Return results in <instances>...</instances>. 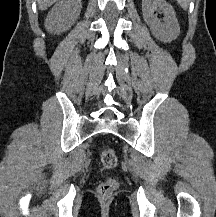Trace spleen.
Returning <instances> with one entry per match:
<instances>
[{"mask_svg":"<svg viewBox=\"0 0 216 217\" xmlns=\"http://www.w3.org/2000/svg\"><path fill=\"white\" fill-rule=\"evenodd\" d=\"M180 6L186 10L188 8V5H189V0H176Z\"/></svg>","mask_w":216,"mask_h":217,"instance_id":"3e777b00","label":"spleen"}]
</instances>
